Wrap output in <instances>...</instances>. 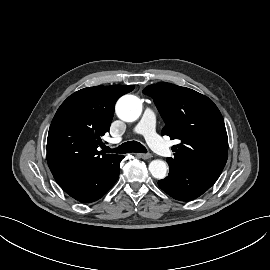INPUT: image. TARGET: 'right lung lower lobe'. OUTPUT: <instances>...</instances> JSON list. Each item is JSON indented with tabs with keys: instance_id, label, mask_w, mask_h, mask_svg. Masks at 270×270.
<instances>
[{
	"instance_id": "1",
	"label": "right lung lower lobe",
	"mask_w": 270,
	"mask_h": 270,
	"mask_svg": "<svg viewBox=\"0 0 270 270\" xmlns=\"http://www.w3.org/2000/svg\"><path fill=\"white\" fill-rule=\"evenodd\" d=\"M123 158L124 156L119 157L98 173L61 187L68 195L82 203L94 202L100 199L117 181L120 162Z\"/></svg>"
}]
</instances>
